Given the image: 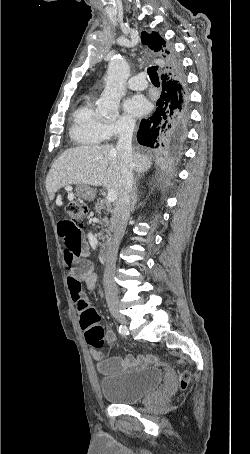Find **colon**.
<instances>
[{
  "label": "colon",
  "mask_w": 250,
  "mask_h": 454,
  "mask_svg": "<svg viewBox=\"0 0 250 454\" xmlns=\"http://www.w3.org/2000/svg\"><path fill=\"white\" fill-rule=\"evenodd\" d=\"M66 212L68 221L75 227H81L88 214V207L82 202L72 201L67 204ZM100 319L99 312L93 306L85 307L80 313V326L84 331L85 340L94 349H99L104 344L105 331ZM188 380V374L181 376L180 384L183 388L186 387Z\"/></svg>",
  "instance_id": "obj_1"
}]
</instances>
